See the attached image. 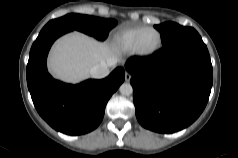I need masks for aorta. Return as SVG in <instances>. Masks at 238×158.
I'll list each match as a JSON object with an SVG mask.
<instances>
[{
  "mask_svg": "<svg viewBox=\"0 0 238 158\" xmlns=\"http://www.w3.org/2000/svg\"><path fill=\"white\" fill-rule=\"evenodd\" d=\"M119 90L122 95H131L133 92L132 86L129 83H123Z\"/></svg>",
  "mask_w": 238,
  "mask_h": 158,
  "instance_id": "762f6f07",
  "label": "aorta"
}]
</instances>
